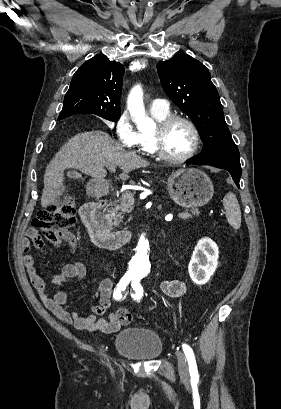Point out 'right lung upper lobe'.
I'll return each instance as SVG.
<instances>
[{"instance_id":"obj_1","label":"right lung upper lobe","mask_w":281,"mask_h":409,"mask_svg":"<svg viewBox=\"0 0 281 409\" xmlns=\"http://www.w3.org/2000/svg\"><path fill=\"white\" fill-rule=\"evenodd\" d=\"M124 67L104 55L86 61L74 74L58 120L74 114L120 115Z\"/></svg>"}]
</instances>
